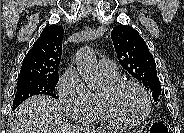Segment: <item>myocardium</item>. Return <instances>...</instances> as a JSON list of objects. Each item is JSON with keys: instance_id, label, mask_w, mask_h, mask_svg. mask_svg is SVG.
Returning a JSON list of instances; mask_svg holds the SVG:
<instances>
[{"instance_id": "1", "label": "myocardium", "mask_w": 184, "mask_h": 133, "mask_svg": "<svg viewBox=\"0 0 184 133\" xmlns=\"http://www.w3.org/2000/svg\"><path fill=\"white\" fill-rule=\"evenodd\" d=\"M126 87H134L138 89L145 99V111L143 115L137 119H126L121 117L115 111L113 106V98L115 95ZM100 103L105 115L111 123L125 126H137L142 124L147 120L152 110V101L148 91L142 84L132 80H118L113 83H108L104 89V92L100 93Z\"/></svg>"}]
</instances>
